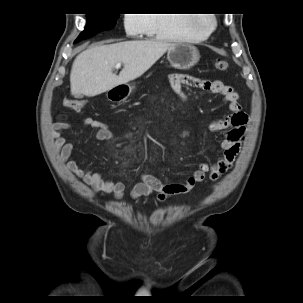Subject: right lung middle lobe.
<instances>
[{"label": "right lung middle lobe", "instance_id": "right-lung-middle-lobe-1", "mask_svg": "<svg viewBox=\"0 0 303 303\" xmlns=\"http://www.w3.org/2000/svg\"><path fill=\"white\" fill-rule=\"evenodd\" d=\"M87 17V25L75 43L92 37L98 32L112 29L115 26L117 19L119 18V14H87Z\"/></svg>", "mask_w": 303, "mask_h": 303}]
</instances>
